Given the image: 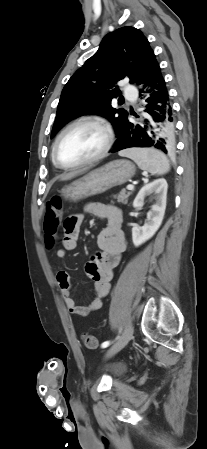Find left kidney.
I'll return each mask as SVG.
<instances>
[{"label":"left kidney","mask_w":207,"mask_h":449,"mask_svg":"<svg viewBox=\"0 0 207 449\" xmlns=\"http://www.w3.org/2000/svg\"><path fill=\"white\" fill-rule=\"evenodd\" d=\"M168 184L164 178L154 180L153 182L143 186L138 192L133 207L136 209L144 205L146 196L154 195L156 203L152 205L151 211L147 214V222L144 226L135 225L132 228V241L138 247L149 240L161 226L166 209Z\"/></svg>","instance_id":"obj_1"}]
</instances>
